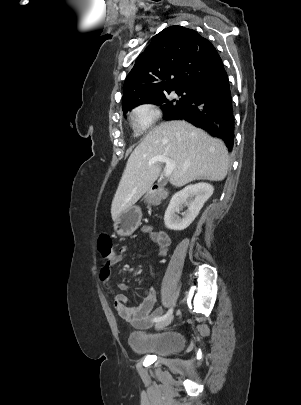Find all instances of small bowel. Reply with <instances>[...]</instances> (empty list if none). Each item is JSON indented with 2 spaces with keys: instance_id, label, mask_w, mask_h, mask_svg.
Returning a JSON list of instances; mask_svg holds the SVG:
<instances>
[{
  "instance_id": "obj_1",
  "label": "small bowel",
  "mask_w": 301,
  "mask_h": 405,
  "mask_svg": "<svg viewBox=\"0 0 301 405\" xmlns=\"http://www.w3.org/2000/svg\"><path fill=\"white\" fill-rule=\"evenodd\" d=\"M142 232L148 234L152 241L158 247L160 256H166L169 248L168 237L161 233L156 232L150 226H144ZM123 254L112 252L108 260H104V264L100 269V281L105 284L114 299V308L118 315L125 321L130 322L135 327L147 328L151 326L153 319L159 317L162 313V308L157 307V294L153 288H145L143 298L140 303L136 305L130 304L127 297L123 293L127 289L125 283H120L117 287L110 284L111 267L120 263L123 260Z\"/></svg>"
}]
</instances>
